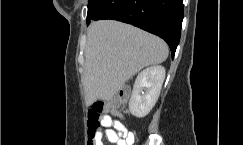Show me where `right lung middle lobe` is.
<instances>
[{
	"mask_svg": "<svg viewBox=\"0 0 243 145\" xmlns=\"http://www.w3.org/2000/svg\"><path fill=\"white\" fill-rule=\"evenodd\" d=\"M92 1H93V0H89V4H88V6L91 4Z\"/></svg>",
	"mask_w": 243,
	"mask_h": 145,
	"instance_id": "obj_1",
	"label": "right lung middle lobe"
}]
</instances>
